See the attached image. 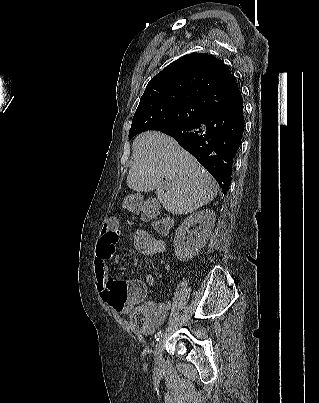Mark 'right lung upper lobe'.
<instances>
[{
	"label": "right lung upper lobe",
	"instance_id": "cb5924a9",
	"mask_svg": "<svg viewBox=\"0 0 319 403\" xmlns=\"http://www.w3.org/2000/svg\"><path fill=\"white\" fill-rule=\"evenodd\" d=\"M162 103H189L208 112L243 103L230 69L206 53L185 55L151 79L135 112Z\"/></svg>",
	"mask_w": 319,
	"mask_h": 403
}]
</instances>
